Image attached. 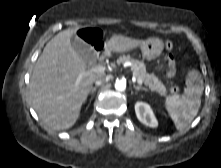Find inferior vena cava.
Returning a JSON list of instances; mask_svg holds the SVG:
<instances>
[{
  "label": "inferior vena cava",
  "mask_w": 221,
  "mask_h": 168,
  "mask_svg": "<svg viewBox=\"0 0 221 168\" xmlns=\"http://www.w3.org/2000/svg\"><path fill=\"white\" fill-rule=\"evenodd\" d=\"M107 82V77L105 75H100L95 80L96 85L100 86Z\"/></svg>",
  "instance_id": "1"
}]
</instances>
